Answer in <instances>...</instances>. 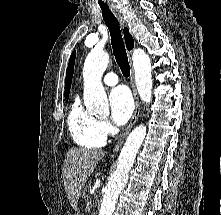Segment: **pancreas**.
<instances>
[{"instance_id": "1", "label": "pancreas", "mask_w": 221, "mask_h": 215, "mask_svg": "<svg viewBox=\"0 0 221 215\" xmlns=\"http://www.w3.org/2000/svg\"><path fill=\"white\" fill-rule=\"evenodd\" d=\"M89 190V187H86L83 190V198L87 201V205H86V209L88 210L89 206H90V202H89V196L87 195V191Z\"/></svg>"}]
</instances>
